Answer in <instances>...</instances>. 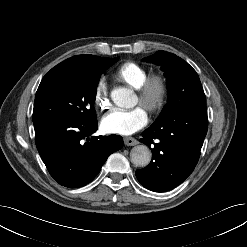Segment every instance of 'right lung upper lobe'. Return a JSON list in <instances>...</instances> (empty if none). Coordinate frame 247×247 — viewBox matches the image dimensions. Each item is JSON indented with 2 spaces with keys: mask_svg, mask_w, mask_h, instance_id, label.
I'll list each match as a JSON object with an SVG mask.
<instances>
[{
  "mask_svg": "<svg viewBox=\"0 0 247 247\" xmlns=\"http://www.w3.org/2000/svg\"><path fill=\"white\" fill-rule=\"evenodd\" d=\"M101 57L94 55H78L68 58L67 60L56 65L54 70H89L94 68L99 62Z\"/></svg>",
  "mask_w": 247,
  "mask_h": 247,
  "instance_id": "1",
  "label": "right lung upper lobe"
}]
</instances>
